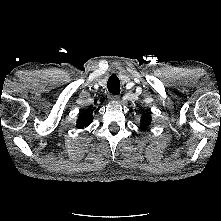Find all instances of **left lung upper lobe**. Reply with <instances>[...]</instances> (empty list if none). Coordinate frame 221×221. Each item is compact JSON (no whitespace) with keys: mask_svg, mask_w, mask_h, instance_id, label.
Here are the masks:
<instances>
[{"mask_svg":"<svg viewBox=\"0 0 221 221\" xmlns=\"http://www.w3.org/2000/svg\"><path fill=\"white\" fill-rule=\"evenodd\" d=\"M150 122H151V116H150V114H149V113L143 114V115L141 116V126H140V128H141V129H144V128L148 127L149 124H150Z\"/></svg>","mask_w":221,"mask_h":221,"instance_id":"5c2ea615","label":"left lung upper lobe"}]
</instances>
